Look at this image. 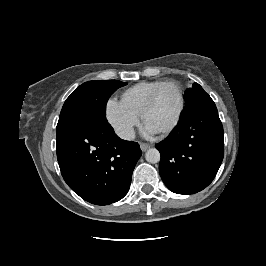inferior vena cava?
Instances as JSON below:
<instances>
[{"label": "inferior vena cava", "instance_id": "inferior-vena-cava-1", "mask_svg": "<svg viewBox=\"0 0 266 266\" xmlns=\"http://www.w3.org/2000/svg\"><path fill=\"white\" fill-rule=\"evenodd\" d=\"M117 135L125 140H133L135 138V132L132 127H126L118 130Z\"/></svg>", "mask_w": 266, "mask_h": 266}]
</instances>
